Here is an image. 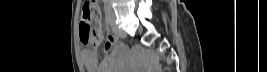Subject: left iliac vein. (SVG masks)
<instances>
[{"label": "left iliac vein", "instance_id": "obj_1", "mask_svg": "<svg viewBox=\"0 0 267 72\" xmlns=\"http://www.w3.org/2000/svg\"><path fill=\"white\" fill-rule=\"evenodd\" d=\"M115 21H116V17H115V14H114L113 10L111 9L110 10V26H111L113 32L118 37H121V38L126 37V33L116 25Z\"/></svg>", "mask_w": 267, "mask_h": 72}]
</instances>
